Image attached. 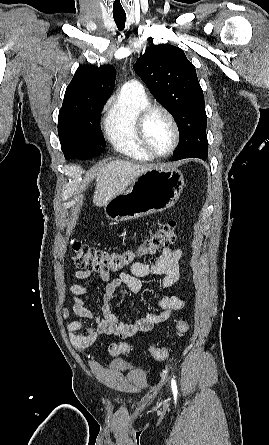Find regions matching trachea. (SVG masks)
<instances>
[{"mask_svg":"<svg viewBox=\"0 0 269 445\" xmlns=\"http://www.w3.org/2000/svg\"><path fill=\"white\" fill-rule=\"evenodd\" d=\"M113 17L117 28L122 31L125 28L126 15H115Z\"/></svg>","mask_w":269,"mask_h":445,"instance_id":"obj_1","label":"trachea"}]
</instances>
